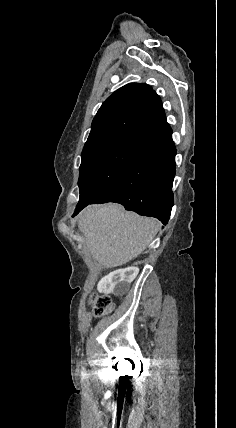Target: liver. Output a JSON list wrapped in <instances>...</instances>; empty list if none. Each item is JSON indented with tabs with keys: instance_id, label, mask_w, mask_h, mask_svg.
Returning a JSON list of instances; mask_svg holds the SVG:
<instances>
[{
	"instance_id": "6515ba94",
	"label": "liver",
	"mask_w": 236,
	"mask_h": 428,
	"mask_svg": "<svg viewBox=\"0 0 236 428\" xmlns=\"http://www.w3.org/2000/svg\"><path fill=\"white\" fill-rule=\"evenodd\" d=\"M78 226L95 260L106 268H116L140 256L161 224L154 218L126 212L120 204H104L82 210Z\"/></svg>"
}]
</instances>
